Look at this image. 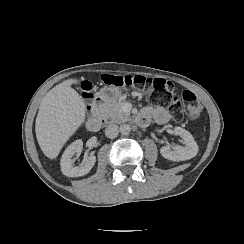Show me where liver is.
<instances>
[{"label": "liver", "instance_id": "6515ba94", "mask_svg": "<svg viewBox=\"0 0 244 244\" xmlns=\"http://www.w3.org/2000/svg\"><path fill=\"white\" fill-rule=\"evenodd\" d=\"M81 79L71 78L57 84L42 98L35 120V134L43 154L50 160L58 158L61 150L83 126L87 106L72 89Z\"/></svg>", "mask_w": 244, "mask_h": 244}]
</instances>
